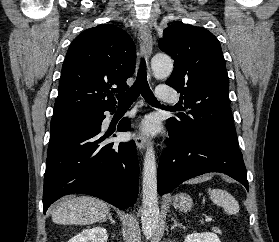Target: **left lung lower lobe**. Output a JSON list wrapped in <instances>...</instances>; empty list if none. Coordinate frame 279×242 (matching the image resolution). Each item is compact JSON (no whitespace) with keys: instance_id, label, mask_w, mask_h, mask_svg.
<instances>
[{"instance_id":"0a47b994","label":"left lung lower lobe","mask_w":279,"mask_h":242,"mask_svg":"<svg viewBox=\"0 0 279 242\" xmlns=\"http://www.w3.org/2000/svg\"><path fill=\"white\" fill-rule=\"evenodd\" d=\"M169 127L167 147L158 166V193L171 192L180 183L207 173L227 174L248 190L246 168L237 146L213 139L189 142Z\"/></svg>"}]
</instances>
